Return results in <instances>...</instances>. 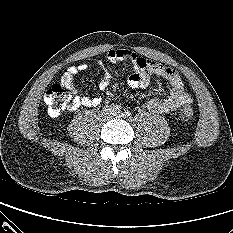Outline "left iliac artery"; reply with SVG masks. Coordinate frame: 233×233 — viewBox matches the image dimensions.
<instances>
[{
	"mask_svg": "<svg viewBox=\"0 0 233 233\" xmlns=\"http://www.w3.org/2000/svg\"><path fill=\"white\" fill-rule=\"evenodd\" d=\"M130 115H131V112L128 111V110H126V111L124 112V114H123V116H125V117H129Z\"/></svg>",
	"mask_w": 233,
	"mask_h": 233,
	"instance_id": "44dca946",
	"label": "left iliac artery"
}]
</instances>
